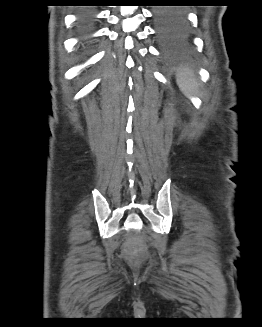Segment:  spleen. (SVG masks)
Wrapping results in <instances>:
<instances>
[{
  "mask_svg": "<svg viewBox=\"0 0 262 327\" xmlns=\"http://www.w3.org/2000/svg\"><path fill=\"white\" fill-rule=\"evenodd\" d=\"M177 84L185 94L195 93L198 87L194 72L188 68L181 69L177 73Z\"/></svg>",
  "mask_w": 262,
  "mask_h": 327,
  "instance_id": "3e777b00",
  "label": "spleen"
}]
</instances>
